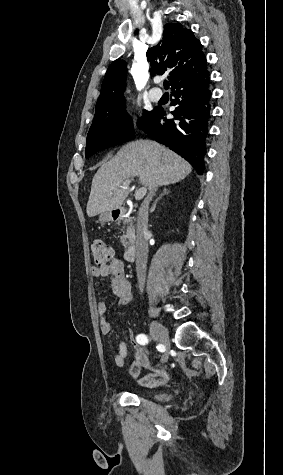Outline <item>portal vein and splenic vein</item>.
I'll use <instances>...</instances> for the list:
<instances>
[{"mask_svg":"<svg viewBox=\"0 0 283 475\" xmlns=\"http://www.w3.org/2000/svg\"><path fill=\"white\" fill-rule=\"evenodd\" d=\"M131 182L132 180H125V182H122V186H119V188H127ZM146 192V188H140V190H138V192L135 194V200H141V198H144Z\"/></svg>","mask_w":283,"mask_h":475,"instance_id":"1","label":"portal vein and splenic vein"}]
</instances>
